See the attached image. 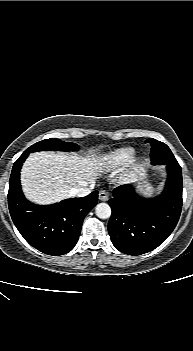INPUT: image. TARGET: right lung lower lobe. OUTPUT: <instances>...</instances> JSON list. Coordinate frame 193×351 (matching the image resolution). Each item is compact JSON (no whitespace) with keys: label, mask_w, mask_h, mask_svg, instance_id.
Wrapping results in <instances>:
<instances>
[{"label":"right lung lower lobe","mask_w":193,"mask_h":351,"mask_svg":"<svg viewBox=\"0 0 193 351\" xmlns=\"http://www.w3.org/2000/svg\"><path fill=\"white\" fill-rule=\"evenodd\" d=\"M28 155L23 153L14 163L10 177L8 205L12 220L34 248L52 256L66 254L76 245L83 219L97 203L98 191L48 206L30 203L20 185V170Z\"/></svg>","instance_id":"obj_1"}]
</instances>
